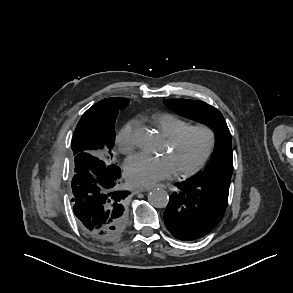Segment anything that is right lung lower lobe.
I'll return each mask as SVG.
<instances>
[{
    "label": "right lung lower lobe",
    "mask_w": 293,
    "mask_h": 293,
    "mask_svg": "<svg viewBox=\"0 0 293 293\" xmlns=\"http://www.w3.org/2000/svg\"><path fill=\"white\" fill-rule=\"evenodd\" d=\"M120 169L97 156L80 153L71 181L74 214L83 231L100 242L120 238L127 225L128 191L119 189Z\"/></svg>",
    "instance_id": "obj_1"
}]
</instances>
